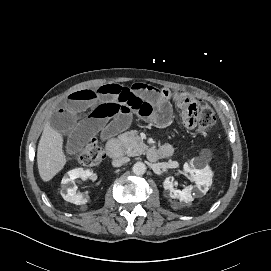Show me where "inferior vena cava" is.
<instances>
[{
	"label": "inferior vena cava",
	"instance_id": "inferior-vena-cava-1",
	"mask_svg": "<svg viewBox=\"0 0 271 271\" xmlns=\"http://www.w3.org/2000/svg\"><path fill=\"white\" fill-rule=\"evenodd\" d=\"M129 161H130V158H128V157H120V158L114 159L112 161V165L114 167H119V166L126 164Z\"/></svg>",
	"mask_w": 271,
	"mask_h": 271
}]
</instances>
